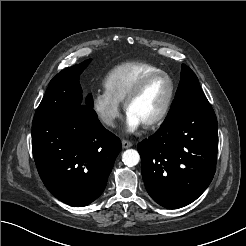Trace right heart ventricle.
Listing matches in <instances>:
<instances>
[{
    "label": "right heart ventricle",
    "mask_w": 246,
    "mask_h": 246,
    "mask_svg": "<svg viewBox=\"0 0 246 246\" xmlns=\"http://www.w3.org/2000/svg\"><path fill=\"white\" fill-rule=\"evenodd\" d=\"M160 70L147 62H125L108 72L103 82L104 87L116 101L122 103L141 78Z\"/></svg>",
    "instance_id": "right-heart-ventricle-1"
}]
</instances>
